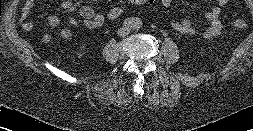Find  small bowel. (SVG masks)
Masks as SVG:
<instances>
[{"label":"small bowel","instance_id":"c3829d8e","mask_svg":"<svg viewBox=\"0 0 253 131\" xmlns=\"http://www.w3.org/2000/svg\"><path fill=\"white\" fill-rule=\"evenodd\" d=\"M172 2L173 0H161V3L164 7H169ZM229 2L230 0H217V5L205 14L207 26L203 30L195 28L188 19L172 21L170 22V26L174 30L185 35L198 36L206 39L214 38L221 33L222 22L220 16L222 8ZM34 4L35 0H26L22 9L20 25L27 32H31L33 30V23L29 17ZM60 6L63 10H70L73 7V2L72 0H63ZM105 22V15L95 12V10L88 5L80 7L78 15L71 17L69 20L70 25L73 27L83 24L87 29L90 30L102 27ZM46 23L49 27L56 28L59 26L60 20L57 16L50 15L46 18ZM59 34L61 38L65 40H70L73 37L71 29L67 27L61 28ZM42 40L44 42H49L51 40V34L45 33L42 36Z\"/></svg>","mask_w":253,"mask_h":131}]
</instances>
